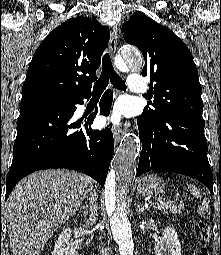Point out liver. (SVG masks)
Instances as JSON below:
<instances>
[{"label":"liver","mask_w":221,"mask_h":255,"mask_svg":"<svg viewBox=\"0 0 221 255\" xmlns=\"http://www.w3.org/2000/svg\"><path fill=\"white\" fill-rule=\"evenodd\" d=\"M93 183L85 174L64 169L34 172L21 180L3 207L13 255H40Z\"/></svg>","instance_id":"1"}]
</instances>
